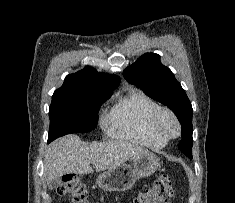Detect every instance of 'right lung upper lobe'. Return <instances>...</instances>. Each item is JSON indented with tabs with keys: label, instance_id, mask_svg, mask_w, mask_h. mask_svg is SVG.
<instances>
[{
	"label": "right lung upper lobe",
	"instance_id": "right-lung-upper-lobe-1",
	"mask_svg": "<svg viewBox=\"0 0 235 203\" xmlns=\"http://www.w3.org/2000/svg\"><path fill=\"white\" fill-rule=\"evenodd\" d=\"M119 83L120 78L116 75L98 73L94 68L85 67L77 73L67 75L64 84L58 90H89L112 93Z\"/></svg>",
	"mask_w": 235,
	"mask_h": 203
}]
</instances>
